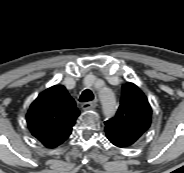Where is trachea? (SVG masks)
I'll use <instances>...</instances> for the list:
<instances>
[{"instance_id":"trachea-1","label":"trachea","mask_w":184,"mask_h":173,"mask_svg":"<svg viewBox=\"0 0 184 173\" xmlns=\"http://www.w3.org/2000/svg\"><path fill=\"white\" fill-rule=\"evenodd\" d=\"M94 99V95L91 90H84L79 98L80 102H89Z\"/></svg>"}]
</instances>
